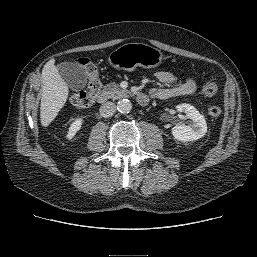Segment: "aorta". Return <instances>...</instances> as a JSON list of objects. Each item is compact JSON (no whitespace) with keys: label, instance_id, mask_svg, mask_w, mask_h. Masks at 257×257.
<instances>
[{"label":"aorta","instance_id":"762f6f07","mask_svg":"<svg viewBox=\"0 0 257 257\" xmlns=\"http://www.w3.org/2000/svg\"><path fill=\"white\" fill-rule=\"evenodd\" d=\"M132 109V103L130 100L128 99H121L120 101H118L117 103V110L120 113L126 114L129 113Z\"/></svg>","mask_w":257,"mask_h":257}]
</instances>
